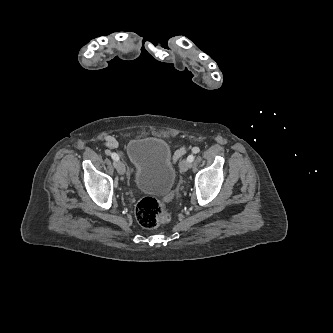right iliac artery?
<instances>
[{"mask_svg": "<svg viewBox=\"0 0 333 333\" xmlns=\"http://www.w3.org/2000/svg\"><path fill=\"white\" fill-rule=\"evenodd\" d=\"M111 157L114 161H118L119 160V156L116 153H111Z\"/></svg>", "mask_w": 333, "mask_h": 333, "instance_id": "right-iliac-artery-1", "label": "right iliac artery"}]
</instances>
